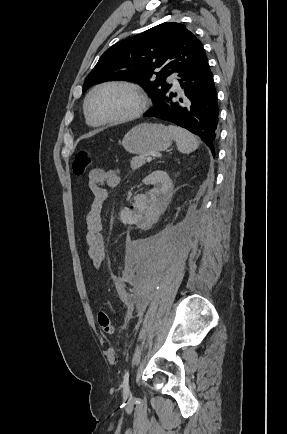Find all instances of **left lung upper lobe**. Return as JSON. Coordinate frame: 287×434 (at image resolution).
<instances>
[{"instance_id": "obj_1", "label": "left lung upper lobe", "mask_w": 287, "mask_h": 434, "mask_svg": "<svg viewBox=\"0 0 287 434\" xmlns=\"http://www.w3.org/2000/svg\"><path fill=\"white\" fill-rule=\"evenodd\" d=\"M203 54L202 43L184 25L162 23L106 50L87 76L83 91L107 80L135 81L145 85L156 105L170 88L166 78Z\"/></svg>"}]
</instances>
